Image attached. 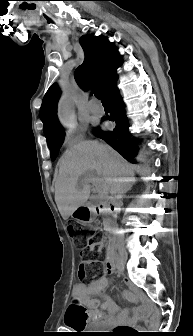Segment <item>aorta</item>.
<instances>
[{
	"mask_svg": "<svg viewBox=\"0 0 193 336\" xmlns=\"http://www.w3.org/2000/svg\"><path fill=\"white\" fill-rule=\"evenodd\" d=\"M58 118L61 124H63L65 127L71 128L76 124L74 95L69 90H66L59 100Z\"/></svg>",
	"mask_w": 193,
	"mask_h": 336,
	"instance_id": "aorta-1",
	"label": "aorta"
}]
</instances>
